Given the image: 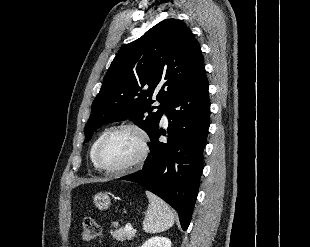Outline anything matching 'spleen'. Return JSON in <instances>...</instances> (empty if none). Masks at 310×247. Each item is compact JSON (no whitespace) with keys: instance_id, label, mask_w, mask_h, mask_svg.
Returning a JSON list of instances; mask_svg holds the SVG:
<instances>
[{"instance_id":"spleen-1","label":"spleen","mask_w":310,"mask_h":247,"mask_svg":"<svg viewBox=\"0 0 310 247\" xmlns=\"http://www.w3.org/2000/svg\"><path fill=\"white\" fill-rule=\"evenodd\" d=\"M149 206L143 221V230L154 234L171 228L174 224V214L170 207L158 196L146 191Z\"/></svg>"}]
</instances>
